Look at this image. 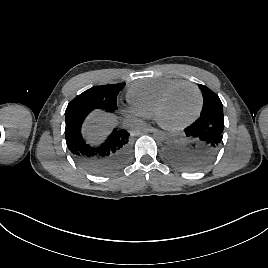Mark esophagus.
<instances>
[{
	"label": "esophagus",
	"mask_w": 268,
	"mask_h": 268,
	"mask_svg": "<svg viewBox=\"0 0 268 268\" xmlns=\"http://www.w3.org/2000/svg\"><path fill=\"white\" fill-rule=\"evenodd\" d=\"M144 132H157L158 129L154 128V127H145L143 129Z\"/></svg>",
	"instance_id": "34e87169"
}]
</instances>
